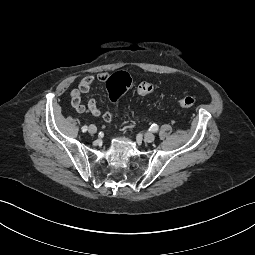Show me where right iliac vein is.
<instances>
[{"label": "right iliac vein", "mask_w": 255, "mask_h": 255, "mask_svg": "<svg viewBox=\"0 0 255 255\" xmlns=\"http://www.w3.org/2000/svg\"><path fill=\"white\" fill-rule=\"evenodd\" d=\"M88 131L90 134H95L97 132V128L95 125H90Z\"/></svg>", "instance_id": "right-iliac-vein-1"}]
</instances>
